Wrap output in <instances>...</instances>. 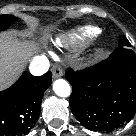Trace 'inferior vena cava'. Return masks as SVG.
Returning a JSON list of instances; mask_svg holds the SVG:
<instances>
[{
    "instance_id": "1",
    "label": "inferior vena cava",
    "mask_w": 136,
    "mask_h": 136,
    "mask_svg": "<svg viewBox=\"0 0 136 136\" xmlns=\"http://www.w3.org/2000/svg\"><path fill=\"white\" fill-rule=\"evenodd\" d=\"M31 74L40 76L45 74L49 69V61L46 56H35L33 57L30 66Z\"/></svg>"
}]
</instances>
